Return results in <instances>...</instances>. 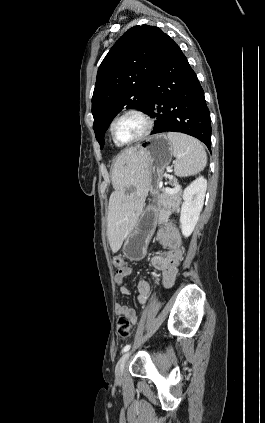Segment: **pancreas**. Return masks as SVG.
<instances>
[{"label":"pancreas","mask_w":265,"mask_h":423,"mask_svg":"<svg viewBox=\"0 0 265 423\" xmlns=\"http://www.w3.org/2000/svg\"><path fill=\"white\" fill-rule=\"evenodd\" d=\"M175 187H178L176 183H174ZM181 192L178 189L176 193H170L166 190H163L162 193L157 198V207L159 209V221H164L168 218L172 212H176L179 210L180 205V198Z\"/></svg>","instance_id":"1"}]
</instances>
